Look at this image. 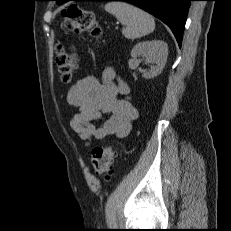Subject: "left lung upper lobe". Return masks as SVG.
<instances>
[{
  "label": "left lung upper lobe",
  "instance_id": "5c2ea615",
  "mask_svg": "<svg viewBox=\"0 0 231 231\" xmlns=\"http://www.w3.org/2000/svg\"><path fill=\"white\" fill-rule=\"evenodd\" d=\"M56 1L58 4H61L63 2V0H54Z\"/></svg>",
  "mask_w": 231,
  "mask_h": 231
}]
</instances>
